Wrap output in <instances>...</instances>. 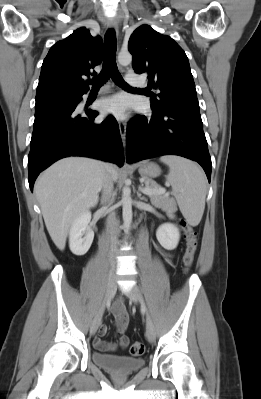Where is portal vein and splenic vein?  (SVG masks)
Wrapping results in <instances>:
<instances>
[{
  "instance_id": "18ae733b",
  "label": "portal vein and splenic vein",
  "mask_w": 261,
  "mask_h": 399,
  "mask_svg": "<svg viewBox=\"0 0 261 399\" xmlns=\"http://www.w3.org/2000/svg\"><path fill=\"white\" fill-rule=\"evenodd\" d=\"M141 191L144 192L145 194L151 195L153 194V191L151 189H149L147 186L146 187H140ZM161 193L165 192V189L161 188L160 189Z\"/></svg>"
}]
</instances>
